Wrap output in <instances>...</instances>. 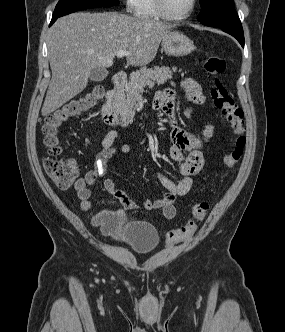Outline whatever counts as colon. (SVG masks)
I'll use <instances>...</instances> for the list:
<instances>
[{
	"mask_svg": "<svg viewBox=\"0 0 285 332\" xmlns=\"http://www.w3.org/2000/svg\"><path fill=\"white\" fill-rule=\"evenodd\" d=\"M225 68L226 62L220 56L210 55L204 61V70L212 83L210 95L214 107L220 111L232 130V147L224 156V163L228 168H234L243 156L246 138L244 136L243 111L219 79ZM103 93L104 88L102 86H95L66 102L45 118L42 132L49 156L44 159L43 167L58 188H70L76 182L80 172L75 160L62 156L59 139L60 130L70 120L94 108ZM208 209L209 204L206 201L194 204L191 207L192 219L181 228L167 231L165 234L166 244L174 246L191 238L197 231L199 223L206 217Z\"/></svg>",
	"mask_w": 285,
	"mask_h": 332,
	"instance_id": "colon-1",
	"label": "colon"
}]
</instances>
